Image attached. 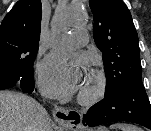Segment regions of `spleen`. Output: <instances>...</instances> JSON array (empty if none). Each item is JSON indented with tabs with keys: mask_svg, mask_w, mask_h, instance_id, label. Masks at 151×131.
<instances>
[{
	"mask_svg": "<svg viewBox=\"0 0 151 131\" xmlns=\"http://www.w3.org/2000/svg\"><path fill=\"white\" fill-rule=\"evenodd\" d=\"M111 129H119L121 131H141L138 127L129 124H115L110 127Z\"/></svg>",
	"mask_w": 151,
	"mask_h": 131,
	"instance_id": "obj_1",
	"label": "spleen"
}]
</instances>
